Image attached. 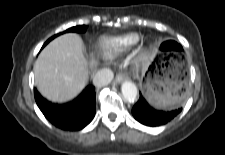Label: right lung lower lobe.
I'll return each mask as SVG.
<instances>
[{
	"label": "right lung lower lobe",
	"mask_w": 225,
	"mask_h": 155,
	"mask_svg": "<svg viewBox=\"0 0 225 155\" xmlns=\"http://www.w3.org/2000/svg\"><path fill=\"white\" fill-rule=\"evenodd\" d=\"M34 96L46 119L63 130H81L94 118L96 98L93 86H87L79 97L62 105L47 101L36 89H34Z\"/></svg>",
	"instance_id": "98d812e1"
}]
</instances>
